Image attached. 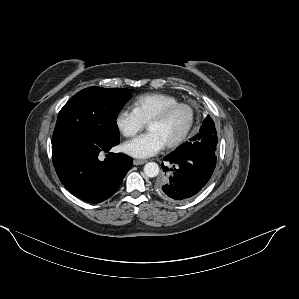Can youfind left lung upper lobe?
Instances as JSON below:
<instances>
[{"instance_id": "left-lung-upper-lobe-1", "label": "left lung upper lobe", "mask_w": 299, "mask_h": 299, "mask_svg": "<svg viewBox=\"0 0 299 299\" xmlns=\"http://www.w3.org/2000/svg\"><path fill=\"white\" fill-rule=\"evenodd\" d=\"M201 137L209 138V143L211 144V148L213 150L212 154L216 155V145L218 142V138L216 134L215 124L209 115L203 121V125L201 126L199 133L191 138L190 141H199ZM181 146L182 145L177 147L175 150H178Z\"/></svg>"}]
</instances>
